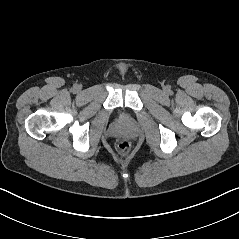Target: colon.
I'll list each match as a JSON object with an SVG mask.
<instances>
[{"label": "colon", "instance_id": "obj_1", "mask_svg": "<svg viewBox=\"0 0 239 239\" xmlns=\"http://www.w3.org/2000/svg\"><path fill=\"white\" fill-rule=\"evenodd\" d=\"M116 149L120 153H125L129 149V142L125 139H120L116 142Z\"/></svg>", "mask_w": 239, "mask_h": 239}]
</instances>
